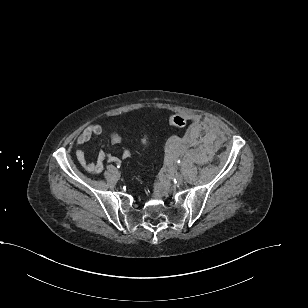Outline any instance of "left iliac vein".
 I'll list each match as a JSON object with an SVG mask.
<instances>
[{
	"label": "left iliac vein",
	"instance_id": "4c4485c4",
	"mask_svg": "<svg viewBox=\"0 0 308 308\" xmlns=\"http://www.w3.org/2000/svg\"><path fill=\"white\" fill-rule=\"evenodd\" d=\"M175 183L176 185H182L183 184V177L180 174L175 175Z\"/></svg>",
	"mask_w": 308,
	"mask_h": 308
}]
</instances>
